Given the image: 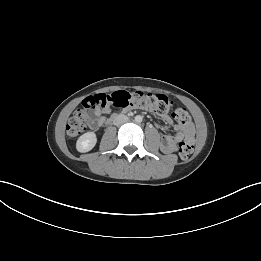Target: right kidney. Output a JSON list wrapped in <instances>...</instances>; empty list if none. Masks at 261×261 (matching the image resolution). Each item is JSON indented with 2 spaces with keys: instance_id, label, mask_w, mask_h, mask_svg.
<instances>
[{
  "instance_id": "ca27d5eb",
  "label": "right kidney",
  "mask_w": 261,
  "mask_h": 261,
  "mask_svg": "<svg viewBox=\"0 0 261 261\" xmlns=\"http://www.w3.org/2000/svg\"><path fill=\"white\" fill-rule=\"evenodd\" d=\"M96 142V134L94 132H87L78 138L76 148L79 152H88L93 149Z\"/></svg>"
}]
</instances>
